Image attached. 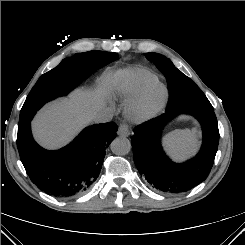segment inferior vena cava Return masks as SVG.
Returning <instances> with one entry per match:
<instances>
[{
	"label": "inferior vena cava",
	"instance_id": "1",
	"mask_svg": "<svg viewBox=\"0 0 245 245\" xmlns=\"http://www.w3.org/2000/svg\"><path fill=\"white\" fill-rule=\"evenodd\" d=\"M112 118V115L109 114L106 111H101L100 113H98L95 117H94V121L96 123H106L108 121H110Z\"/></svg>",
	"mask_w": 245,
	"mask_h": 245
}]
</instances>
